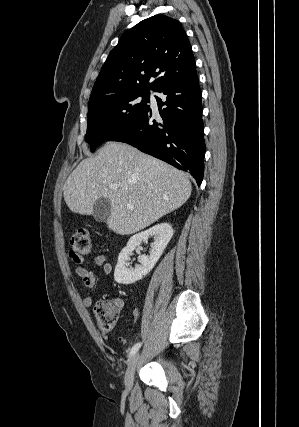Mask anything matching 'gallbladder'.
<instances>
[{"instance_id":"bac80fb5","label":"gallbladder","mask_w":299,"mask_h":427,"mask_svg":"<svg viewBox=\"0 0 299 427\" xmlns=\"http://www.w3.org/2000/svg\"><path fill=\"white\" fill-rule=\"evenodd\" d=\"M111 213V204L108 199L100 198L94 203L93 218L99 222H105Z\"/></svg>"}]
</instances>
